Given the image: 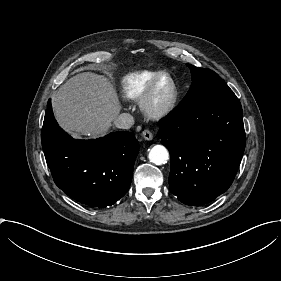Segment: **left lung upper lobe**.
Listing matches in <instances>:
<instances>
[{"instance_id":"left-lung-upper-lobe-1","label":"left lung upper lobe","mask_w":281,"mask_h":281,"mask_svg":"<svg viewBox=\"0 0 281 281\" xmlns=\"http://www.w3.org/2000/svg\"><path fill=\"white\" fill-rule=\"evenodd\" d=\"M192 73L191 87L180 105L217 97L234 96L233 91L214 71L187 64Z\"/></svg>"}]
</instances>
